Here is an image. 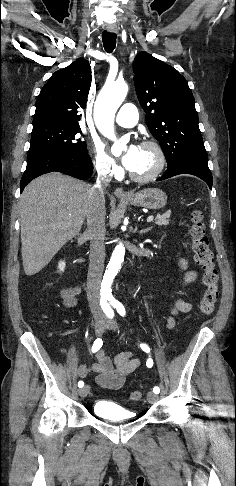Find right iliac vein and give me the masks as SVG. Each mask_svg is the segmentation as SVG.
<instances>
[{"mask_svg":"<svg viewBox=\"0 0 236 486\" xmlns=\"http://www.w3.org/2000/svg\"><path fill=\"white\" fill-rule=\"evenodd\" d=\"M107 325V322L105 319H97L95 321V334L96 336H101L105 330V327ZM90 391V386L89 385H85L84 387H82L81 389L78 390V393L81 397H85L87 396V394L89 393Z\"/></svg>","mask_w":236,"mask_h":486,"instance_id":"63e3f726","label":"right iliac vein"}]
</instances>
